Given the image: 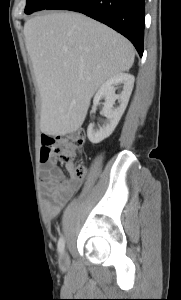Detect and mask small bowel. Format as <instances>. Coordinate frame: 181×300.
<instances>
[{
    "label": "small bowel",
    "mask_w": 181,
    "mask_h": 300,
    "mask_svg": "<svg viewBox=\"0 0 181 300\" xmlns=\"http://www.w3.org/2000/svg\"><path fill=\"white\" fill-rule=\"evenodd\" d=\"M41 186L48 200L45 210L49 217L55 218L65 203L79 189L81 179L66 177L54 160H48L42 170Z\"/></svg>",
    "instance_id": "small-bowel-1"
}]
</instances>
